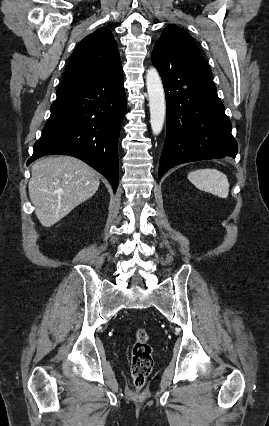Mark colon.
Listing matches in <instances>:
<instances>
[{
    "label": "colon",
    "instance_id": "1",
    "mask_svg": "<svg viewBox=\"0 0 269 426\" xmlns=\"http://www.w3.org/2000/svg\"><path fill=\"white\" fill-rule=\"evenodd\" d=\"M152 366V347L149 342V335L145 328L139 327L134 333L131 352V372L133 386L136 390L143 388Z\"/></svg>",
    "mask_w": 269,
    "mask_h": 426
}]
</instances>
